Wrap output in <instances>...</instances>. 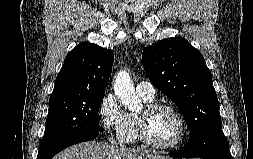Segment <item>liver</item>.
<instances>
[{
	"mask_svg": "<svg viewBox=\"0 0 253 159\" xmlns=\"http://www.w3.org/2000/svg\"><path fill=\"white\" fill-rule=\"evenodd\" d=\"M169 159L149 151L114 147L99 142H84L71 146L53 159Z\"/></svg>",
	"mask_w": 253,
	"mask_h": 159,
	"instance_id": "1",
	"label": "liver"
}]
</instances>
